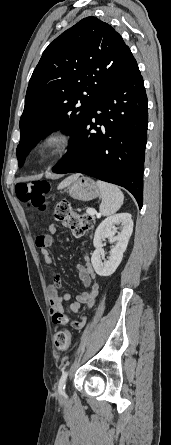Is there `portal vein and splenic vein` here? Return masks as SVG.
<instances>
[{"label": "portal vein and splenic vein", "mask_w": 171, "mask_h": 445, "mask_svg": "<svg viewBox=\"0 0 171 445\" xmlns=\"http://www.w3.org/2000/svg\"><path fill=\"white\" fill-rule=\"evenodd\" d=\"M87 213H89L90 215H95L96 211L94 209H92V208H89L87 210Z\"/></svg>", "instance_id": "18ae733b"}]
</instances>
